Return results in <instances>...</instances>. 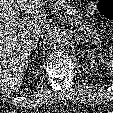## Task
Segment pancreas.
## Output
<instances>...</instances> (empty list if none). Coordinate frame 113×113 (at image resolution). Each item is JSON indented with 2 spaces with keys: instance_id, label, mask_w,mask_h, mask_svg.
I'll use <instances>...</instances> for the list:
<instances>
[{
  "instance_id": "1",
  "label": "pancreas",
  "mask_w": 113,
  "mask_h": 113,
  "mask_svg": "<svg viewBox=\"0 0 113 113\" xmlns=\"http://www.w3.org/2000/svg\"><path fill=\"white\" fill-rule=\"evenodd\" d=\"M51 7L54 9L67 8V16L70 19V21L75 24L77 29L81 31L83 34H85L86 37L91 38L93 44L99 45L101 43L100 34H98L96 30L86 25L83 22L81 15L72 6H68L61 0H55V3L51 5Z\"/></svg>"
}]
</instances>
